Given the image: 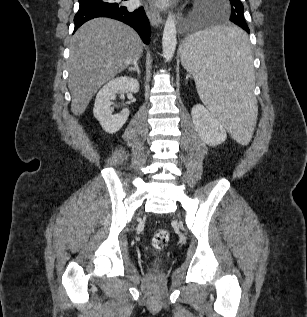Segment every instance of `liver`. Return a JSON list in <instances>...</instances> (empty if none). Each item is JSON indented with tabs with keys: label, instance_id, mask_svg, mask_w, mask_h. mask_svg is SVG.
I'll use <instances>...</instances> for the list:
<instances>
[{
	"label": "liver",
	"instance_id": "1",
	"mask_svg": "<svg viewBox=\"0 0 307 317\" xmlns=\"http://www.w3.org/2000/svg\"><path fill=\"white\" fill-rule=\"evenodd\" d=\"M142 51L140 37L124 23L96 18L83 24L70 44L71 111L83 114L97 90L139 59Z\"/></svg>",
	"mask_w": 307,
	"mask_h": 317
}]
</instances>
